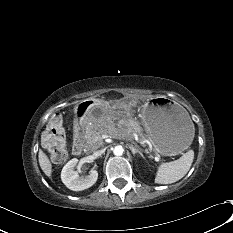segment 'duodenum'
Wrapping results in <instances>:
<instances>
[{"label":"duodenum","instance_id":"duodenum-1","mask_svg":"<svg viewBox=\"0 0 233 233\" xmlns=\"http://www.w3.org/2000/svg\"><path fill=\"white\" fill-rule=\"evenodd\" d=\"M94 108V102L87 100L86 102L80 103L72 111V124L76 127L74 134L75 140L73 144V151L75 154H80L83 150V144L80 138L81 127L85 124V115H88Z\"/></svg>","mask_w":233,"mask_h":233}]
</instances>
